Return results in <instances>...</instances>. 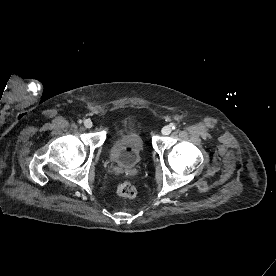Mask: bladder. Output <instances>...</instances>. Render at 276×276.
I'll list each match as a JSON object with an SVG mask.
<instances>
[{"mask_svg":"<svg viewBox=\"0 0 276 276\" xmlns=\"http://www.w3.org/2000/svg\"><path fill=\"white\" fill-rule=\"evenodd\" d=\"M145 149L143 138L132 130H125L113 142L109 154L112 161L123 167H134Z\"/></svg>","mask_w":276,"mask_h":276,"instance_id":"1","label":"bladder"}]
</instances>
